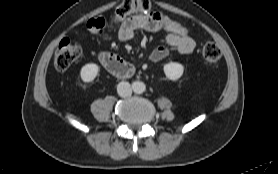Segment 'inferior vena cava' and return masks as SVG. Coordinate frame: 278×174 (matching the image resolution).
<instances>
[{"mask_svg": "<svg viewBox=\"0 0 278 174\" xmlns=\"http://www.w3.org/2000/svg\"><path fill=\"white\" fill-rule=\"evenodd\" d=\"M117 92L121 97H128L132 94V87L129 82L122 81L117 85Z\"/></svg>", "mask_w": 278, "mask_h": 174, "instance_id": "obj_1", "label": "inferior vena cava"}]
</instances>
